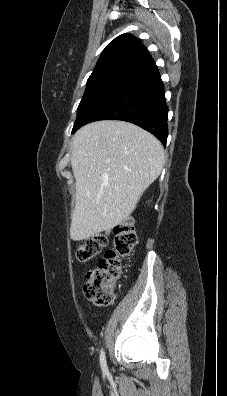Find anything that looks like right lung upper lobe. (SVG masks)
<instances>
[{"mask_svg": "<svg viewBox=\"0 0 227 396\" xmlns=\"http://www.w3.org/2000/svg\"><path fill=\"white\" fill-rule=\"evenodd\" d=\"M152 60L140 40L130 34H122L111 41L103 50L93 73L109 69L135 71Z\"/></svg>", "mask_w": 227, "mask_h": 396, "instance_id": "1", "label": "right lung upper lobe"}]
</instances>
